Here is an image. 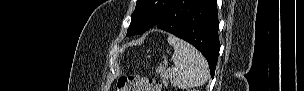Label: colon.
<instances>
[{
	"label": "colon",
	"instance_id": "colon-1",
	"mask_svg": "<svg viewBox=\"0 0 304 91\" xmlns=\"http://www.w3.org/2000/svg\"><path fill=\"white\" fill-rule=\"evenodd\" d=\"M118 91H160L159 81L154 78L131 75L118 81Z\"/></svg>",
	"mask_w": 304,
	"mask_h": 91
}]
</instances>
